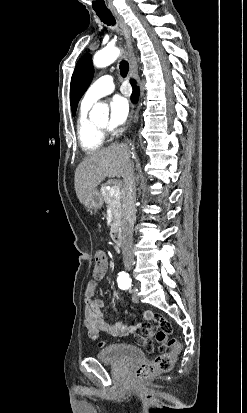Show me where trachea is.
I'll return each instance as SVG.
<instances>
[{"label": "trachea", "mask_w": 247, "mask_h": 413, "mask_svg": "<svg viewBox=\"0 0 247 413\" xmlns=\"http://www.w3.org/2000/svg\"><path fill=\"white\" fill-rule=\"evenodd\" d=\"M96 14L103 23L107 25H115L116 22L114 16L110 11H96ZM119 69L121 76L126 77L129 70L128 62L126 60H122L119 64Z\"/></svg>", "instance_id": "obj_1"}]
</instances>
